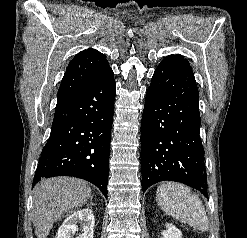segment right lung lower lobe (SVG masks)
Instances as JSON below:
<instances>
[{
    "instance_id": "right-lung-lower-lobe-1",
    "label": "right lung lower lobe",
    "mask_w": 247,
    "mask_h": 238,
    "mask_svg": "<svg viewBox=\"0 0 247 238\" xmlns=\"http://www.w3.org/2000/svg\"><path fill=\"white\" fill-rule=\"evenodd\" d=\"M115 81L111 68L56 106L33 186L44 178L73 176L96 185L107 197Z\"/></svg>"
}]
</instances>
